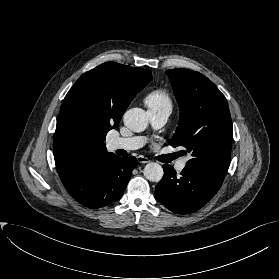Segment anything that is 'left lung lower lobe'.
<instances>
[{"mask_svg": "<svg viewBox=\"0 0 279 279\" xmlns=\"http://www.w3.org/2000/svg\"><path fill=\"white\" fill-rule=\"evenodd\" d=\"M164 176L155 190L157 200L176 214L192 213L203 207L221 185L199 173L182 170L180 176L170 165H163Z\"/></svg>", "mask_w": 279, "mask_h": 279, "instance_id": "1", "label": "left lung lower lobe"}]
</instances>
